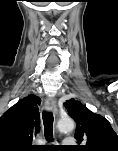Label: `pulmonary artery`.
Returning a JSON list of instances; mask_svg holds the SVG:
<instances>
[{
	"label": "pulmonary artery",
	"mask_w": 118,
	"mask_h": 151,
	"mask_svg": "<svg viewBox=\"0 0 118 151\" xmlns=\"http://www.w3.org/2000/svg\"><path fill=\"white\" fill-rule=\"evenodd\" d=\"M64 144L69 145V144H73L74 143V139L73 138H66L63 141Z\"/></svg>",
	"instance_id": "e3ab8cb5"
}]
</instances>
